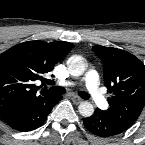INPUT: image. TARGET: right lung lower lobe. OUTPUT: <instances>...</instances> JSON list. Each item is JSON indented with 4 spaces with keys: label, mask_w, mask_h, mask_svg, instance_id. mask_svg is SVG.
Segmentation results:
<instances>
[{
    "label": "right lung lower lobe",
    "mask_w": 145,
    "mask_h": 145,
    "mask_svg": "<svg viewBox=\"0 0 145 145\" xmlns=\"http://www.w3.org/2000/svg\"><path fill=\"white\" fill-rule=\"evenodd\" d=\"M61 98L60 95H53L35 106L11 112L1 119L12 129L20 132L35 130L45 122L48 114Z\"/></svg>",
    "instance_id": "98d812e1"
}]
</instances>
